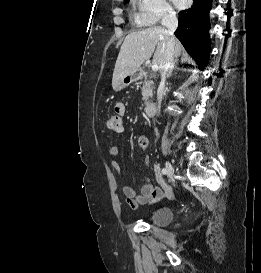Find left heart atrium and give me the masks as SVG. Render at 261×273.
<instances>
[{
    "label": "left heart atrium",
    "instance_id": "39dd6f15",
    "mask_svg": "<svg viewBox=\"0 0 261 273\" xmlns=\"http://www.w3.org/2000/svg\"><path fill=\"white\" fill-rule=\"evenodd\" d=\"M178 7H183L186 0H173Z\"/></svg>",
    "mask_w": 261,
    "mask_h": 273
}]
</instances>
